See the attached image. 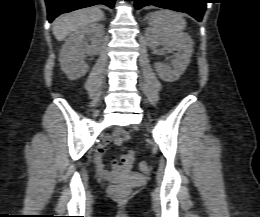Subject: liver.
<instances>
[{"label": "liver", "mask_w": 260, "mask_h": 217, "mask_svg": "<svg viewBox=\"0 0 260 217\" xmlns=\"http://www.w3.org/2000/svg\"><path fill=\"white\" fill-rule=\"evenodd\" d=\"M103 18L104 13L98 7L76 10L56 18L53 22L52 31L55 38L62 41L73 31Z\"/></svg>", "instance_id": "liver-1"}]
</instances>
